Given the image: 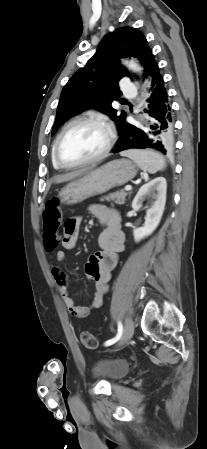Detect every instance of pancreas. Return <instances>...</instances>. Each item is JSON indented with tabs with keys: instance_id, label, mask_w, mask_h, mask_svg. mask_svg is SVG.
Segmentation results:
<instances>
[{
	"instance_id": "obj_1",
	"label": "pancreas",
	"mask_w": 207,
	"mask_h": 449,
	"mask_svg": "<svg viewBox=\"0 0 207 449\" xmlns=\"http://www.w3.org/2000/svg\"><path fill=\"white\" fill-rule=\"evenodd\" d=\"M128 195V193H126L124 190L121 191H116L114 193H110L109 195L105 196L104 198H101V201H104V199L106 201H114L116 204L119 205H123L125 204L126 201V196Z\"/></svg>"
}]
</instances>
